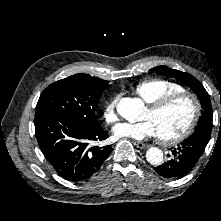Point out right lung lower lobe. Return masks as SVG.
<instances>
[{"label": "right lung lower lobe", "mask_w": 221, "mask_h": 221, "mask_svg": "<svg viewBox=\"0 0 221 221\" xmlns=\"http://www.w3.org/2000/svg\"><path fill=\"white\" fill-rule=\"evenodd\" d=\"M34 124L43 155L68 181L90 178L112 151L111 145L94 146L108 137L100 126L89 128L46 108L36 109Z\"/></svg>", "instance_id": "obj_1"}]
</instances>
